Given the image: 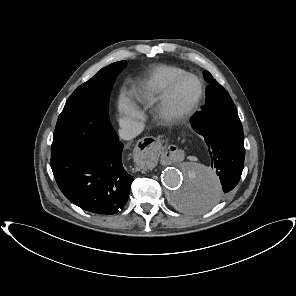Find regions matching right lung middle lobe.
Segmentation results:
<instances>
[{
	"instance_id": "right-lung-middle-lobe-1",
	"label": "right lung middle lobe",
	"mask_w": 296,
	"mask_h": 296,
	"mask_svg": "<svg viewBox=\"0 0 296 296\" xmlns=\"http://www.w3.org/2000/svg\"><path fill=\"white\" fill-rule=\"evenodd\" d=\"M126 61L101 69L80 85L66 102L53 135L51 151L103 140L112 131L108 116L110 92Z\"/></svg>"
}]
</instances>
